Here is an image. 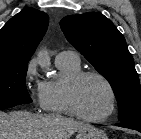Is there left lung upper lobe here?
Here are the masks:
<instances>
[{
    "instance_id": "left-lung-upper-lobe-1",
    "label": "left lung upper lobe",
    "mask_w": 141,
    "mask_h": 139,
    "mask_svg": "<svg viewBox=\"0 0 141 139\" xmlns=\"http://www.w3.org/2000/svg\"><path fill=\"white\" fill-rule=\"evenodd\" d=\"M60 26L67 40L109 81L118 102L119 121H141L138 74L115 25L104 15L89 12L66 16Z\"/></svg>"
}]
</instances>
